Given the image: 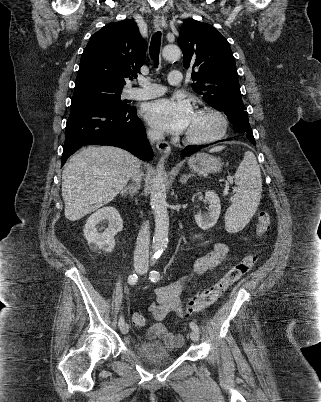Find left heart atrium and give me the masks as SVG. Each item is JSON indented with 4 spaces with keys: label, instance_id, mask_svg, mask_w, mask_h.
<instances>
[{
    "label": "left heart atrium",
    "instance_id": "39dd6f15",
    "mask_svg": "<svg viewBox=\"0 0 321 402\" xmlns=\"http://www.w3.org/2000/svg\"><path fill=\"white\" fill-rule=\"evenodd\" d=\"M193 114L191 104L182 98L159 99L143 108V116L153 128L169 133L186 131Z\"/></svg>",
    "mask_w": 321,
    "mask_h": 402
}]
</instances>
